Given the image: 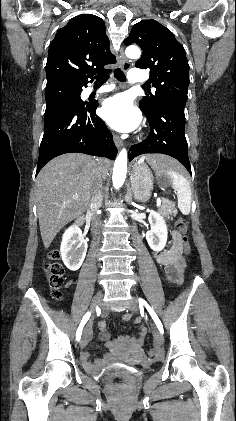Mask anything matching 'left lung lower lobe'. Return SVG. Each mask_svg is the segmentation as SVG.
Instances as JSON below:
<instances>
[{
  "mask_svg": "<svg viewBox=\"0 0 236 421\" xmlns=\"http://www.w3.org/2000/svg\"><path fill=\"white\" fill-rule=\"evenodd\" d=\"M185 104L179 100H168L155 112L144 113L150 125V134L143 142L131 146L129 161L146 153L166 154L180 161L191 174L185 138Z\"/></svg>",
  "mask_w": 236,
  "mask_h": 421,
  "instance_id": "left-lung-lower-lobe-1",
  "label": "left lung lower lobe"
}]
</instances>
